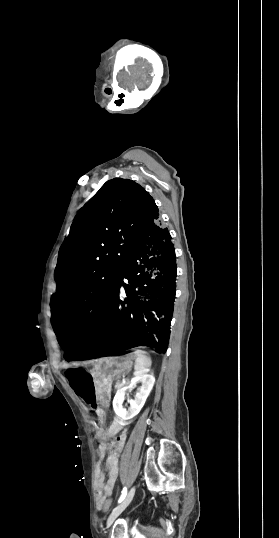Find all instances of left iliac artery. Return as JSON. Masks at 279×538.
Returning <instances> with one entry per match:
<instances>
[{"label": "left iliac artery", "instance_id": "left-iliac-artery-1", "mask_svg": "<svg viewBox=\"0 0 279 538\" xmlns=\"http://www.w3.org/2000/svg\"><path fill=\"white\" fill-rule=\"evenodd\" d=\"M126 494H127V488L124 487L123 490H122L121 496H120V498H119V500H118V503H120V502L123 501V499L125 498Z\"/></svg>", "mask_w": 279, "mask_h": 538}]
</instances>
